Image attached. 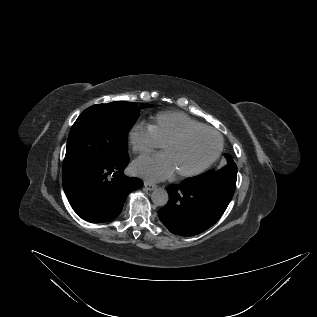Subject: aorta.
Returning a JSON list of instances; mask_svg holds the SVG:
<instances>
[{"mask_svg": "<svg viewBox=\"0 0 317 317\" xmlns=\"http://www.w3.org/2000/svg\"><path fill=\"white\" fill-rule=\"evenodd\" d=\"M153 203L157 206H165L169 200L168 193L163 188H156L151 195Z\"/></svg>", "mask_w": 317, "mask_h": 317, "instance_id": "aorta-1", "label": "aorta"}]
</instances>
